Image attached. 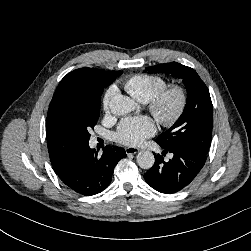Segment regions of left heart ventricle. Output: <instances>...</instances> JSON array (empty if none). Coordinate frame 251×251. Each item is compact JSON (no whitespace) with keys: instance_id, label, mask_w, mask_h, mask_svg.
Returning <instances> with one entry per match:
<instances>
[{"instance_id":"1","label":"left heart ventricle","mask_w":251,"mask_h":251,"mask_svg":"<svg viewBox=\"0 0 251 251\" xmlns=\"http://www.w3.org/2000/svg\"><path fill=\"white\" fill-rule=\"evenodd\" d=\"M173 105H174V102H170V104H169V108H172V107H173Z\"/></svg>"}]
</instances>
